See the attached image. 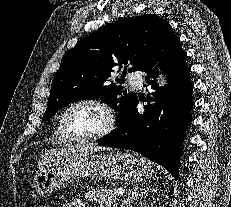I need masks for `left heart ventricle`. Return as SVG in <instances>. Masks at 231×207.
Masks as SVG:
<instances>
[{
  "instance_id": "1",
  "label": "left heart ventricle",
  "mask_w": 231,
  "mask_h": 207,
  "mask_svg": "<svg viewBox=\"0 0 231 207\" xmlns=\"http://www.w3.org/2000/svg\"><path fill=\"white\" fill-rule=\"evenodd\" d=\"M105 125V116L96 106L81 104L74 107L67 115V126L76 137L90 136Z\"/></svg>"
}]
</instances>
